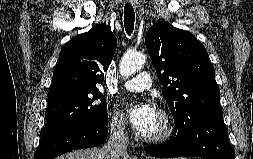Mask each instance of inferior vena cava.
I'll use <instances>...</instances> for the list:
<instances>
[{"instance_id":"602c4592","label":"inferior vena cava","mask_w":253,"mask_h":159,"mask_svg":"<svg viewBox=\"0 0 253 159\" xmlns=\"http://www.w3.org/2000/svg\"><path fill=\"white\" fill-rule=\"evenodd\" d=\"M128 136L124 124H118L111 128V135L105 146L107 159H120L127 154Z\"/></svg>"}]
</instances>
